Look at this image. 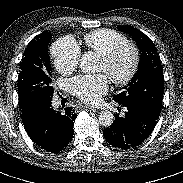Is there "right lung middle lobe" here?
I'll return each mask as SVG.
<instances>
[{
    "instance_id": "1",
    "label": "right lung middle lobe",
    "mask_w": 183,
    "mask_h": 183,
    "mask_svg": "<svg viewBox=\"0 0 183 183\" xmlns=\"http://www.w3.org/2000/svg\"><path fill=\"white\" fill-rule=\"evenodd\" d=\"M51 33L44 34L31 45L20 63L18 75L19 107H24L34 99L52 98L54 89L51 86V65L48 55V43Z\"/></svg>"
}]
</instances>
